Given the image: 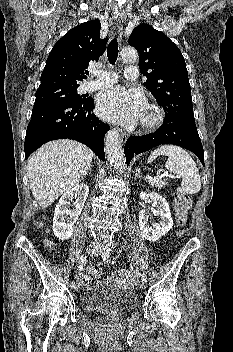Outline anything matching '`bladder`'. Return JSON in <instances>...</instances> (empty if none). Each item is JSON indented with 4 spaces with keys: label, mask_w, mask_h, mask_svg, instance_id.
Listing matches in <instances>:
<instances>
[{
    "label": "bladder",
    "mask_w": 233,
    "mask_h": 352,
    "mask_svg": "<svg viewBox=\"0 0 233 352\" xmlns=\"http://www.w3.org/2000/svg\"><path fill=\"white\" fill-rule=\"evenodd\" d=\"M136 304L137 296L132 290L116 287L109 282H98L89 286L82 298L85 310L111 315L124 314Z\"/></svg>",
    "instance_id": "31cf9c89"
}]
</instances>
